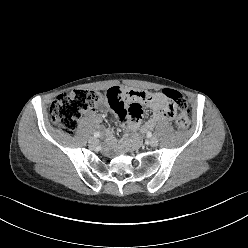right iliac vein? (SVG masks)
<instances>
[{
  "instance_id": "63e3f726",
  "label": "right iliac vein",
  "mask_w": 248,
  "mask_h": 248,
  "mask_svg": "<svg viewBox=\"0 0 248 248\" xmlns=\"http://www.w3.org/2000/svg\"><path fill=\"white\" fill-rule=\"evenodd\" d=\"M98 142H99L98 139L95 138V137H92V138L89 139V143H90L91 145H97Z\"/></svg>"
}]
</instances>
